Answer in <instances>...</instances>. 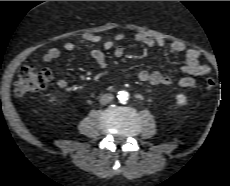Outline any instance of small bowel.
Masks as SVG:
<instances>
[{"mask_svg":"<svg viewBox=\"0 0 230 186\" xmlns=\"http://www.w3.org/2000/svg\"><path fill=\"white\" fill-rule=\"evenodd\" d=\"M123 36L121 34L108 38L104 37L100 34H87L83 37L82 42L84 43H101L103 48L106 50L112 49L115 43L120 40ZM136 40L147 45L148 47H163L165 45V41L162 38H155L151 35L145 33L136 34ZM78 45L77 42H66L63 45V48L67 51L73 50ZM170 50L173 53H182L184 52L185 62L180 67V70L186 74V76L182 77L179 80V85L183 88H192L195 85L194 76H201L209 74L211 71L210 66L201 63L200 56L201 53L198 49L189 48L187 49L186 45L182 41H175L171 44ZM90 54L96 64L101 69H106L107 67V59L104 52L98 48H92L90 50ZM61 52L58 48L51 47L49 48L45 54L42 56V61L45 63H49L57 58H59ZM114 55L118 58L124 55V49L121 46H117L114 48ZM38 64H35L36 67ZM138 79L141 82H147L151 85H169L171 84V78L163 74L159 71H147L142 70L138 73ZM57 87L61 89H65L68 87V82L65 79H59L56 82Z\"/></svg>","mask_w":230,"mask_h":186,"instance_id":"small-bowel-1","label":"small bowel"}]
</instances>
